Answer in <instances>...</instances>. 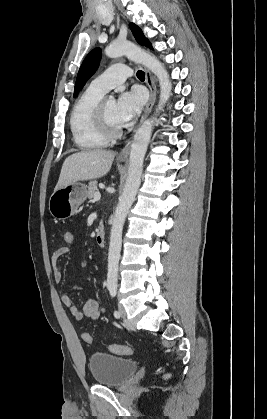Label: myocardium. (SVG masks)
I'll return each mask as SVG.
<instances>
[{
	"label": "myocardium",
	"instance_id": "f54148a6",
	"mask_svg": "<svg viewBox=\"0 0 267 419\" xmlns=\"http://www.w3.org/2000/svg\"><path fill=\"white\" fill-rule=\"evenodd\" d=\"M106 101L101 100V102L98 104L95 112V122L98 131L100 134L107 140H114L119 138L122 133V128H112L106 118L105 114V105Z\"/></svg>",
	"mask_w": 267,
	"mask_h": 419
}]
</instances>
